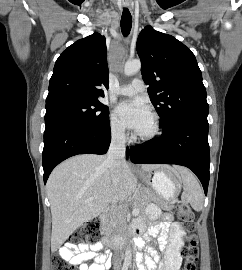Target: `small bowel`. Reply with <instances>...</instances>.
I'll use <instances>...</instances> for the list:
<instances>
[{
  "instance_id": "small-bowel-1",
  "label": "small bowel",
  "mask_w": 242,
  "mask_h": 270,
  "mask_svg": "<svg viewBox=\"0 0 242 270\" xmlns=\"http://www.w3.org/2000/svg\"><path fill=\"white\" fill-rule=\"evenodd\" d=\"M149 223V225H147ZM135 233L142 235L135 241L138 248L147 247L148 256H137L138 270H155L160 261V255L153 245L156 238L164 251V261L159 265L162 270H179L181 257L180 249L184 229L182 225L174 221L169 213H161L156 206H150L147 210V219L139 218L133 225ZM104 242H94L79 246L67 244L61 249L62 256L71 264L77 266V270H107L110 265V255L100 252ZM93 261L89 264V261Z\"/></svg>"
}]
</instances>
